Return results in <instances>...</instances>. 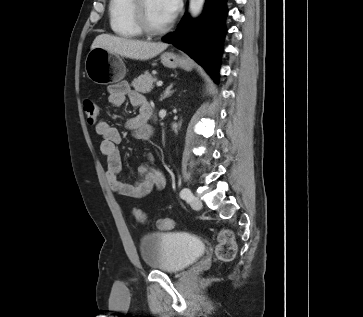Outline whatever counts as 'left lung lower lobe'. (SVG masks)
<instances>
[{
	"label": "left lung lower lobe",
	"instance_id": "left-lung-lower-lobe-1",
	"mask_svg": "<svg viewBox=\"0 0 363 317\" xmlns=\"http://www.w3.org/2000/svg\"><path fill=\"white\" fill-rule=\"evenodd\" d=\"M226 0H207L203 16L192 21L185 16L177 30L162 40L172 43L202 65L218 82L219 59L225 30Z\"/></svg>",
	"mask_w": 363,
	"mask_h": 317
}]
</instances>
